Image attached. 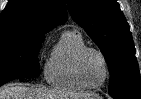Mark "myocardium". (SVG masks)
<instances>
[{
	"mask_svg": "<svg viewBox=\"0 0 141 99\" xmlns=\"http://www.w3.org/2000/svg\"><path fill=\"white\" fill-rule=\"evenodd\" d=\"M90 52L96 53L102 59L103 64H104L105 76H104L103 81L98 85L88 84L84 80L83 75H82V61L84 57L86 56V54ZM74 70H75L76 78L79 81V83L83 85L86 89H91V90H97L103 87L110 77V68H109L107 57L100 49H97L95 47L85 46L77 53L76 58H75V63H74Z\"/></svg>",
	"mask_w": 141,
	"mask_h": 99,
	"instance_id": "obj_1",
	"label": "myocardium"
}]
</instances>
